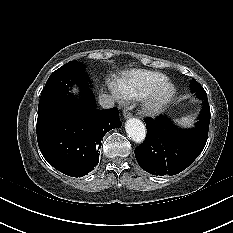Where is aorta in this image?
Masks as SVG:
<instances>
[{"instance_id":"1","label":"aorta","mask_w":233,"mask_h":233,"mask_svg":"<svg viewBox=\"0 0 233 233\" xmlns=\"http://www.w3.org/2000/svg\"><path fill=\"white\" fill-rule=\"evenodd\" d=\"M126 133L129 138L136 143H141L146 137V128L143 122L137 118H130L125 125Z\"/></svg>"}]
</instances>
